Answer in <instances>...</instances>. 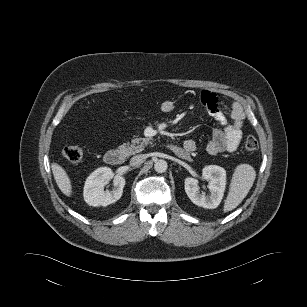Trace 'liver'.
<instances>
[{"mask_svg":"<svg viewBox=\"0 0 307 307\" xmlns=\"http://www.w3.org/2000/svg\"><path fill=\"white\" fill-rule=\"evenodd\" d=\"M51 169L54 175V179L61 190V192L70 197L72 195V185L69 176L66 171L57 163L51 164Z\"/></svg>","mask_w":307,"mask_h":307,"instance_id":"liver-1","label":"liver"}]
</instances>
